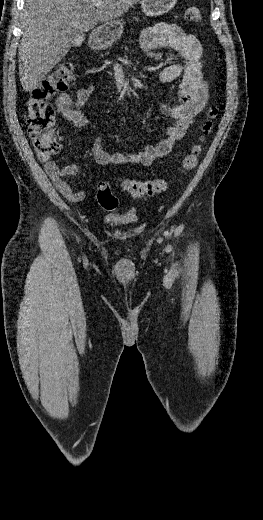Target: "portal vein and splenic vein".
Here are the masks:
<instances>
[{
	"mask_svg": "<svg viewBox=\"0 0 263 520\" xmlns=\"http://www.w3.org/2000/svg\"><path fill=\"white\" fill-rule=\"evenodd\" d=\"M96 7H100L103 5V3L101 1H97L95 4H94Z\"/></svg>",
	"mask_w": 263,
	"mask_h": 520,
	"instance_id": "1",
	"label": "portal vein and splenic vein"
}]
</instances>
